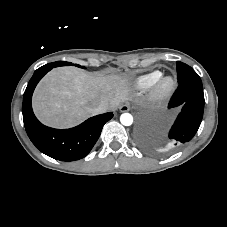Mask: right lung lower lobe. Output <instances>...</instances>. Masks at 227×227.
Listing matches in <instances>:
<instances>
[{"instance_id": "obj_1", "label": "right lung lower lobe", "mask_w": 227, "mask_h": 227, "mask_svg": "<svg viewBox=\"0 0 227 227\" xmlns=\"http://www.w3.org/2000/svg\"><path fill=\"white\" fill-rule=\"evenodd\" d=\"M52 69L44 65L30 79L23 95V121L32 143L44 154L60 161H74L85 157L98 140L104 124L113 117L108 112L89 118L77 127L59 130L41 124L35 117L31 98L40 79Z\"/></svg>"}]
</instances>
